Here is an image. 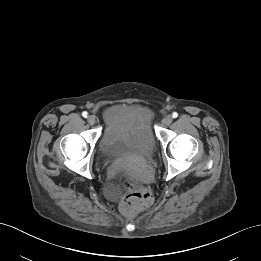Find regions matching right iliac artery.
Returning <instances> with one entry per match:
<instances>
[{"instance_id": "obj_1", "label": "right iliac artery", "mask_w": 261, "mask_h": 261, "mask_svg": "<svg viewBox=\"0 0 261 261\" xmlns=\"http://www.w3.org/2000/svg\"><path fill=\"white\" fill-rule=\"evenodd\" d=\"M82 116H83L84 118H87L88 113H87L86 111H84V112L82 113Z\"/></svg>"}]
</instances>
